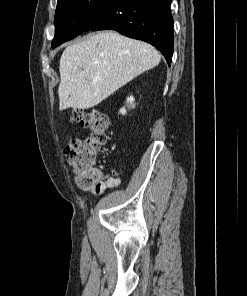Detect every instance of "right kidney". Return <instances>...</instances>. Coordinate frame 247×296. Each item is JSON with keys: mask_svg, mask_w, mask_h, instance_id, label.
<instances>
[{"mask_svg": "<svg viewBox=\"0 0 247 296\" xmlns=\"http://www.w3.org/2000/svg\"><path fill=\"white\" fill-rule=\"evenodd\" d=\"M133 102H134V97H133V96H130V97L127 98V103L130 104L131 107H134ZM120 113H121L122 115H125V114H126V109H125V107H123V108L120 109Z\"/></svg>", "mask_w": 247, "mask_h": 296, "instance_id": "1", "label": "right kidney"}]
</instances>
